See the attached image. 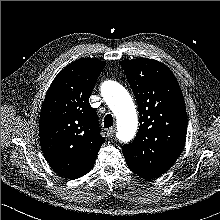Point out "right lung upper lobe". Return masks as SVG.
Returning <instances> with one entry per match:
<instances>
[{
    "mask_svg": "<svg viewBox=\"0 0 220 220\" xmlns=\"http://www.w3.org/2000/svg\"><path fill=\"white\" fill-rule=\"evenodd\" d=\"M106 63L81 58L55 77L45 97L39 121L46 160L58 174L75 179L87 174L104 137L98 116L89 104L96 80Z\"/></svg>",
    "mask_w": 220,
    "mask_h": 220,
    "instance_id": "1",
    "label": "right lung upper lobe"
}]
</instances>
